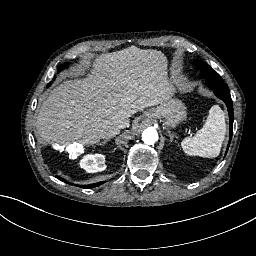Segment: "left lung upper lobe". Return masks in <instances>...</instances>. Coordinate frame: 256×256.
<instances>
[{
	"label": "left lung upper lobe",
	"mask_w": 256,
	"mask_h": 256,
	"mask_svg": "<svg viewBox=\"0 0 256 256\" xmlns=\"http://www.w3.org/2000/svg\"><path fill=\"white\" fill-rule=\"evenodd\" d=\"M196 67L201 70L202 75L206 78V84L209 88L214 90L215 95L222 99L228 108L229 118H230V137L226 153L228 151L232 134H233V104L230 96V91L228 86L223 82L219 74L214 71L209 65L203 61H194Z\"/></svg>",
	"instance_id": "obj_1"
}]
</instances>
